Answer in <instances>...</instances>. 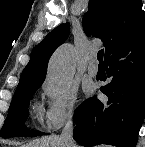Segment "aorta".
Listing matches in <instances>:
<instances>
[{
    "label": "aorta",
    "mask_w": 145,
    "mask_h": 147,
    "mask_svg": "<svg viewBox=\"0 0 145 147\" xmlns=\"http://www.w3.org/2000/svg\"><path fill=\"white\" fill-rule=\"evenodd\" d=\"M76 52L72 45L60 46L51 56L48 64L47 79L55 89H63L73 77Z\"/></svg>",
    "instance_id": "aorta-1"
}]
</instances>
